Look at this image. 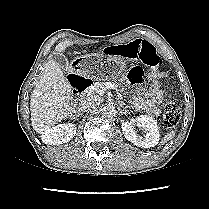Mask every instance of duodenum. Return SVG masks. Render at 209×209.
<instances>
[{
    "label": "duodenum",
    "instance_id": "obj_1",
    "mask_svg": "<svg viewBox=\"0 0 209 209\" xmlns=\"http://www.w3.org/2000/svg\"><path fill=\"white\" fill-rule=\"evenodd\" d=\"M69 82L72 86V95L73 99H77L79 96L84 94L91 86V80L80 76V75H71Z\"/></svg>",
    "mask_w": 209,
    "mask_h": 209
}]
</instances>
